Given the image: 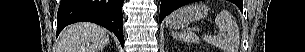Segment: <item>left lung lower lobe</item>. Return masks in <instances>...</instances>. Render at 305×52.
<instances>
[{
    "instance_id": "0a47b994",
    "label": "left lung lower lobe",
    "mask_w": 305,
    "mask_h": 52,
    "mask_svg": "<svg viewBox=\"0 0 305 52\" xmlns=\"http://www.w3.org/2000/svg\"><path fill=\"white\" fill-rule=\"evenodd\" d=\"M195 0H162L160 6V22L172 11L177 9L178 7L185 5L190 2H194ZM242 9V3L239 6Z\"/></svg>"
}]
</instances>
